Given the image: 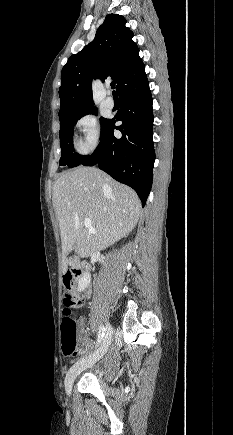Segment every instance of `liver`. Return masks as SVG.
<instances>
[{
  "instance_id": "6515ba94",
  "label": "liver",
  "mask_w": 233,
  "mask_h": 435,
  "mask_svg": "<svg viewBox=\"0 0 233 435\" xmlns=\"http://www.w3.org/2000/svg\"><path fill=\"white\" fill-rule=\"evenodd\" d=\"M53 204L59 222L63 253L87 258L127 236L136 226L141 203L134 190L94 167H78L60 176L53 188ZM89 218L96 233L84 228Z\"/></svg>"
}]
</instances>
